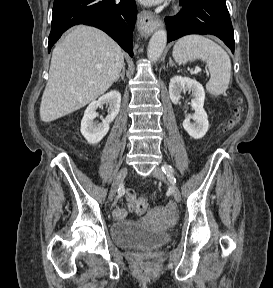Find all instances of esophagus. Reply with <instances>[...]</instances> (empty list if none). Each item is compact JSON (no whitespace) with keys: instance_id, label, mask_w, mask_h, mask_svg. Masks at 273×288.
Returning <instances> with one entry per match:
<instances>
[{"instance_id":"obj_1","label":"esophagus","mask_w":273,"mask_h":288,"mask_svg":"<svg viewBox=\"0 0 273 288\" xmlns=\"http://www.w3.org/2000/svg\"><path fill=\"white\" fill-rule=\"evenodd\" d=\"M137 26L142 34H147L163 27V20L149 10H142L138 14Z\"/></svg>"}]
</instances>
